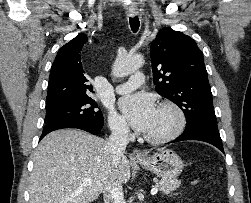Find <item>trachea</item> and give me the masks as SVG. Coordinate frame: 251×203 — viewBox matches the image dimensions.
<instances>
[{
  "label": "trachea",
  "instance_id": "trachea-1",
  "mask_svg": "<svg viewBox=\"0 0 251 203\" xmlns=\"http://www.w3.org/2000/svg\"><path fill=\"white\" fill-rule=\"evenodd\" d=\"M131 30L136 33L139 29L140 22L138 16L129 19Z\"/></svg>",
  "mask_w": 251,
  "mask_h": 203
}]
</instances>
